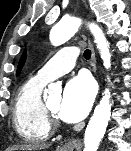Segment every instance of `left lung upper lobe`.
<instances>
[{
    "instance_id": "1",
    "label": "left lung upper lobe",
    "mask_w": 131,
    "mask_h": 151,
    "mask_svg": "<svg viewBox=\"0 0 131 151\" xmlns=\"http://www.w3.org/2000/svg\"><path fill=\"white\" fill-rule=\"evenodd\" d=\"M25 60H26V52L24 51V53H23L22 56H21V59H20L18 68H17V75L19 74L20 70L22 69Z\"/></svg>"
}]
</instances>
